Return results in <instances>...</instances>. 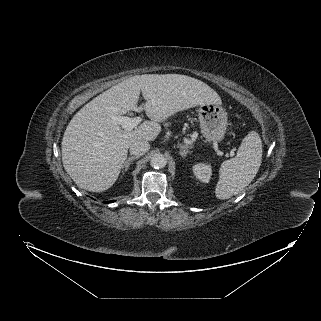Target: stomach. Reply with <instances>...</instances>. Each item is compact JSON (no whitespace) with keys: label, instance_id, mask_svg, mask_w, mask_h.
<instances>
[{"label":"stomach","instance_id":"obj_1","mask_svg":"<svg viewBox=\"0 0 321 321\" xmlns=\"http://www.w3.org/2000/svg\"><path fill=\"white\" fill-rule=\"evenodd\" d=\"M197 112L201 133L206 141H221L228 125L225 109L220 104L209 103L200 105Z\"/></svg>","mask_w":321,"mask_h":321}]
</instances>
